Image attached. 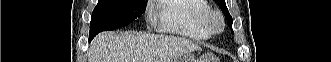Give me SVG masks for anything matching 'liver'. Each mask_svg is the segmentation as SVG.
<instances>
[{
  "label": "liver",
  "instance_id": "obj_1",
  "mask_svg": "<svg viewBox=\"0 0 331 62\" xmlns=\"http://www.w3.org/2000/svg\"><path fill=\"white\" fill-rule=\"evenodd\" d=\"M198 49L192 41L176 36L106 32L92 42L89 62H172Z\"/></svg>",
  "mask_w": 331,
  "mask_h": 62
}]
</instances>
